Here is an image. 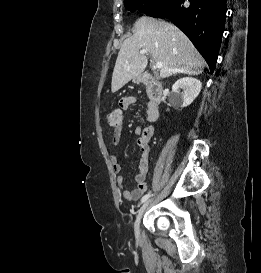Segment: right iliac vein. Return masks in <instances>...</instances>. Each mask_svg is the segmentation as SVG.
I'll return each instance as SVG.
<instances>
[{"label":"right iliac vein","instance_id":"obj_1","mask_svg":"<svg viewBox=\"0 0 261 273\" xmlns=\"http://www.w3.org/2000/svg\"><path fill=\"white\" fill-rule=\"evenodd\" d=\"M152 200L146 201L142 206L139 208L138 213L136 215V219L134 222V231L136 235H139V227H140V221L141 218L145 212V210L148 208L149 204L151 203Z\"/></svg>","mask_w":261,"mask_h":273}]
</instances>
